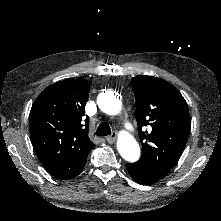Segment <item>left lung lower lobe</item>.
I'll list each match as a JSON object with an SVG mask.
<instances>
[{"mask_svg": "<svg viewBox=\"0 0 221 221\" xmlns=\"http://www.w3.org/2000/svg\"><path fill=\"white\" fill-rule=\"evenodd\" d=\"M126 168L128 169V172L130 173L131 177L136 182L144 185H149L163 177L151 171L149 168H147L143 163L139 161L136 163L127 164Z\"/></svg>", "mask_w": 221, "mask_h": 221, "instance_id": "0a47b994", "label": "left lung lower lobe"}]
</instances>
